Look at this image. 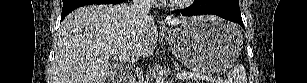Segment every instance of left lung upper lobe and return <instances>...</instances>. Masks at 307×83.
I'll return each mask as SVG.
<instances>
[{
    "label": "left lung upper lobe",
    "instance_id": "5c2ea615",
    "mask_svg": "<svg viewBox=\"0 0 307 83\" xmlns=\"http://www.w3.org/2000/svg\"><path fill=\"white\" fill-rule=\"evenodd\" d=\"M234 2H236V3H239V1L238 0H233Z\"/></svg>",
    "mask_w": 307,
    "mask_h": 83
}]
</instances>
